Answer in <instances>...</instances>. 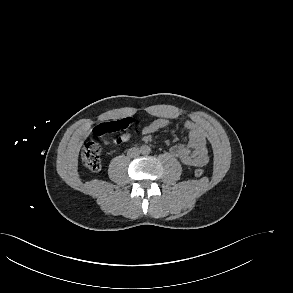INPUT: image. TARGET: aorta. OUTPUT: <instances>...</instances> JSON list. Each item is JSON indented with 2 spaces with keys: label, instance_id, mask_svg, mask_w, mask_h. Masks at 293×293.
I'll return each instance as SVG.
<instances>
[{
  "label": "aorta",
  "instance_id": "762f6f07",
  "mask_svg": "<svg viewBox=\"0 0 293 293\" xmlns=\"http://www.w3.org/2000/svg\"><path fill=\"white\" fill-rule=\"evenodd\" d=\"M142 152L144 154H148L150 152V148L149 147H145Z\"/></svg>",
  "mask_w": 293,
  "mask_h": 293
}]
</instances>
